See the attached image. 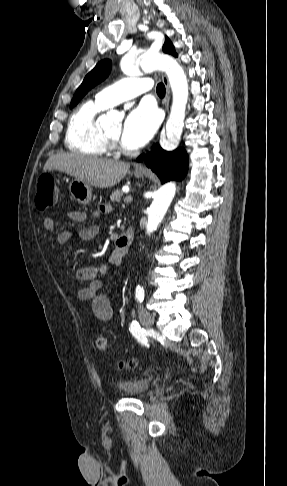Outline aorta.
I'll return each instance as SVG.
<instances>
[{
    "label": "aorta",
    "instance_id": "aorta-1",
    "mask_svg": "<svg viewBox=\"0 0 287 486\" xmlns=\"http://www.w3.org/2000/svg\"><path fill=\"white\" fill-rule=\"evenodd\" d=\"M139 66L144 71L161 70L167 74L169 84L173 94L171 112L166 123V138L163 146L173 148L178 144L181 138L186 105L188 102V81L182 67L171 56L161 53H145L140 57ZM133 58L124 57L121 60L120 67L124 74L134 75L140 71ZM112 113H107L100 117V123L103 126L110 125ZM176 186L169 182L163 185L149 208L148 220L146 224V234H153L162 222L170 203L175 195Z\"/></svg>",
    "mask_w": 287,
    "mask_h": 486
}]
</instances>
